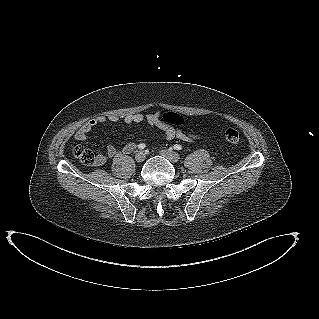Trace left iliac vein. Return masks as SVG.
Wrapping results in <instances>:
<instances>
[{
	"instance_id": "1",
	"label": "left iliac vein",
	"mask_w": 319,
	"mask_h": 319,
	"mask_svg": "<svg viewBox=\"0 0 319 319\" xmlns=\"http://www.w3.org/2000/svg\"><path fill=\"white\" fill-rule=\"evenodd\" d=\"M160 154L171 162H178L180 159V155L178 153L170 150H161Z\"/></svg>"
}]
</instances>
